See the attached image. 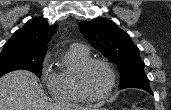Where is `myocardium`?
Masks as SVG:
<instances>
[{
    "label": "myocardium",
    "instance_id": "1",
    "mask_svg": "<svg viewBox=\"0 0 171 110\" xmlns=\"http://www.w3.org/2000/svg\"><path fill=\"white\" fill-rule=\"evenodd\" d=\"M95 64L103 65L108 70L110 74V78H111L109 89L105 93L98 95V96H94L90 94L85 86V75L87 71L89 70V68ZM75 84H76V89L79 92V94L87 101H102V100L109 98L115 90L116 72L114 68L112 67V65L106 60L89 59L78 69L76 73Z\"/></svg>",
    "mask_w": 171,
    "mask_h": 110
}]
</instances>
